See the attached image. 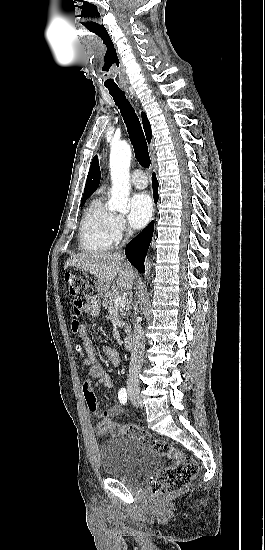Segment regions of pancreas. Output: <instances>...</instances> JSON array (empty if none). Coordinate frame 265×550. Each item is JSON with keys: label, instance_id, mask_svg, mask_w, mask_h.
Instances as JSON below:
<instances>
[{"label": "pancreas", "instance_id": "1", "mask_svg": "<svg viewBox=\"0 0 265 550\" xmlns=\"http://www.w3.org/2000/svg\"><path fill=\"white\" fill-rule=\"evenodd\" d=\"M119 296H120L119 290L118 289H113L110 293H108L105 296V298L103 300V306L108 311L116 308L115 305H114V301ZM130 308H131V306H130L129 303H127L125 306L117 307V309H118V311H119V313L122 317H128L130 315V312H129ZM124 329H125L126 333H129L130 332V325L125 324Z\"/></svg>", "mask_w": 265, "mask_h": 550}]
</instances>
